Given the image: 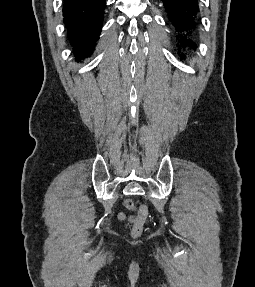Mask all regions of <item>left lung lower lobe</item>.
<instances>
[{
    "mask_svg": "<svg viewBox=\"0 0 255 287\" xmlns=\"http://www.w3.org/2000/svg\"><path fill=\"white\" fill-rule=\"evenodd\" d=\"M171 20L176 39L184 49H196L191 37L196 30L199 17L198 0H161ZM184 56L181 57L183 59Z\"/></svg>",
    "mask_w": 255,
    "mask_h": 287,
    "instance_id": "0a47b994",
    "label": "left lung lower lobe"
}]
</instances>
